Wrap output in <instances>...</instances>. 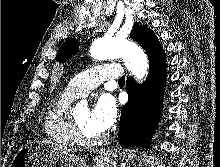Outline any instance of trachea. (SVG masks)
<instances>
[{
	"label": "trachea",
	"mask_w": 220,
	"mask_h": 167,
	"mask_svg": "<svg viewBox=\"0 0 220 167\" xmlns=\"http://www.w3.org/2000/svg\"><path fill=\"white\" fill-rule=\"evenodd\" d=\"M119 84H124L125 83V77L122 76L119 80H118Z\"/></svg>",
	"instance_id": "3493384b"
}]
</instances>
